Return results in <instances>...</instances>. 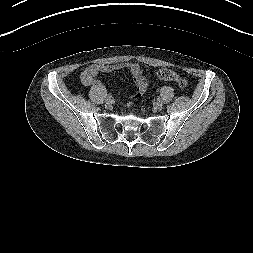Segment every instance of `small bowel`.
I'll use <instances>...</instances> for the list:
<instances>
[{"label":"small bowel","mask_w":253,"mask_h":253,"mask_svg":"<svg viewBox=\"0 0 253 253\" xmlns=\"http://www.w3.org/2000/svg\"><path fill=\"white\" fill-rule=\"evenodd\" d=\"M129 73L133 76L134 80L137 78H142V69L136 63H126L122 65ZM117 67L106 64H93L87 67L81 75V81L85 85H90L94 82L96 76L100 72H112Z\"/></svg>","instance_id":"1"}]
</instances>
